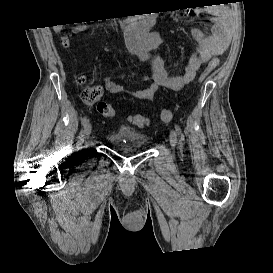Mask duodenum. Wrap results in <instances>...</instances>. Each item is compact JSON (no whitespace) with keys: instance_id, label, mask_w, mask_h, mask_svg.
<instances>
[{"instance_id":"duodenum-1","label":"duodenum","mask_w":273,"mask_h":273,"mask_svg":"<svg viewBox=\"0 0 273 273\" xmlns=\"http://www.w3.org/2000/svg\"><path fill=\"white\" fill-rule=\"evenodd\" d=\"M157 18L154 14H140L138 16H129L123 20V26L127 31H132L136 38L144 41H148V37H143L141 32L143 29L154 25Z\"/></svg>"}]
</instances>
